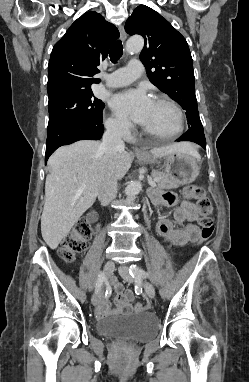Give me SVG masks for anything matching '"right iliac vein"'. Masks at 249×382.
I'll return each mask as SVG.
<instances>
[{"label":"right iliac vein","mask_w":249,"mask_h":382,"mask_svg":"<svg viewBox=\"0 0 249 382\" xmlns=\"http://www.w3.org/2000/svg\"><path fill=\"white\" fill-rule=\"evenodd\" d=\"M114 262L107 261L104 265V274L106 277H109L114 271ZM102 289L96 290V292L92 295V303L96 305L101 298Z\"/></svg>","instance_id":"obj_1"}]
</instances>
